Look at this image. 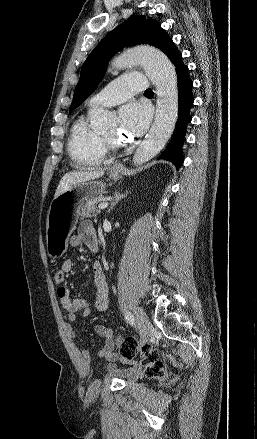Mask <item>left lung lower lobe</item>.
Here are the masks:
<instances>
[{"instance_id":"0a47b994","label":"left lung lower lobe","mask_w":257,"mask_h":439,"mask_svg":"<svg viewBox=\"0 0 257 439\" xmlns=\"http://www.w3.org/2000/svg\"><path fill=\"white\" fill-rule=\"evenodd\" d=\"M165 54L176 67L179 110L178 120L171 141L157 159L171 161L178 169L184 161L182 146L185 142L187 125L191 122L189 113L194 102L192 96V81L188 74L187 66L182 62V55L173 42L168 46Z\"/></svg>"}]
</instances>
